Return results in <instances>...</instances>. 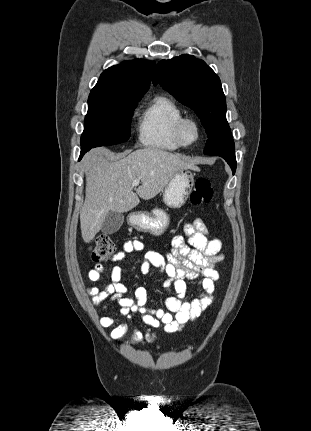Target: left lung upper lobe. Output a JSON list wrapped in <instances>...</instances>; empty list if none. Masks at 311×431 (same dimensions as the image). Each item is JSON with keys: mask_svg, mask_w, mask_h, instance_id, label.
I'll return each instance as SVG.
<instances>
[{"mask_svg": "<svg viewBox=\"0 0 311 431\" xmlns=\"http://www.w3.org/2000/svg\"><path fill=\"white\" fill-rule=\"evenodd\" d=\"M154 83L198 115L208 135L204 154L235 153L220 79L204 61L188 54L162 60L156 66Z\"/></svg>", "mask_w": 311, "mask_h": 431, "instance_id": "1", "label": "left lung upper lobe"}]
</instances>
